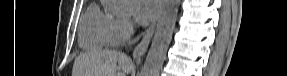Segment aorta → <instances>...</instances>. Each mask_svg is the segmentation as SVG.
Wrapping results in <instances>:
<instances>
[{
  "label": "aorta",
  "instance_id": "aorta-1",
  "mask_svg": "<svg viewBox=\"0 0 287 76\" xmlns=\"http://www.w3.org/2000/svg\"><path fill=\"white\" fill-rule=\"evenodd\" d=\"M179 4L180 0L162 1L157 27L141 71V76H159L172 39Z\"/></svg>",
  "mask_w": 287,
  "mask_h": 76
}]
</instances>
